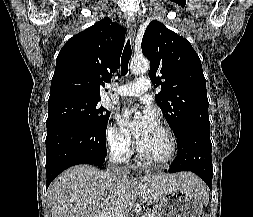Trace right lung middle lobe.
<instances>
[{
  "label": "right lung middle lobe",
  "mask_w": 253,
  "mask_h": 217,
  "mask_svg": "<svg viewBox=\"0 0 253 217\" xmlns=\"http://www.w3.org/2000/svg\"><path fill=\"white\" fill-rule=\"evenodd\" d=\"M99 98L69 97L48 103L47 128L64 122L83 123L93 128L107 126L109 112Z\"/></svg>",
  "instance_id": "dd1d6c3e"
}]
</instances>
